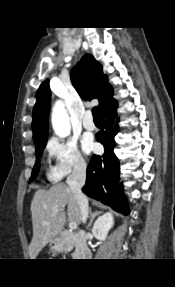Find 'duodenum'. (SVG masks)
Listing matches in <instances>:
<instances>
[{
	"instance_id": "obj_1",
	"label": "duodenum",
	"mask_w": 175,
	"mask_h": 287,
	"mask_svg": "<svg viewBox=\"0 0 175 287\" xmlns=\"http://www.w3.org/2000/svg\"><path fill=\"white\" fill-rule=\"evenodd\" d=\"M88 235L84 231L71 232L63 231L59 238L62 250L68 249L70 245H74L78 250V255L82 259H89L91 251L87 246Z\"/></svg>"
}]
</instances>
